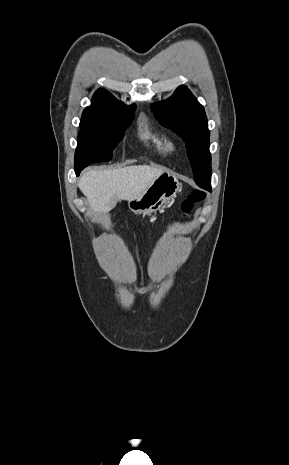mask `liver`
Segmentation results:
<instances>
[{"mask_svg":"<svg viewBox=\"0 0 289 465\" xmlns=\"http://www.w3.org/2000/svg\"><path fill=\"white\" fill-rule=\"evenodd\" d=\"M163 171L148 165H133L121 169L90 170L78 183L87 197L93 212L103 215L113 209L120 200L135 198Z\"/></svg>","mask_w":289,"mask_h":465,"instance_id":"obj_1","label":"liver"}]
</instances>
